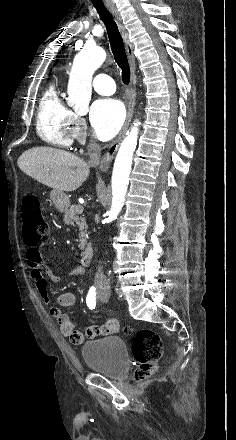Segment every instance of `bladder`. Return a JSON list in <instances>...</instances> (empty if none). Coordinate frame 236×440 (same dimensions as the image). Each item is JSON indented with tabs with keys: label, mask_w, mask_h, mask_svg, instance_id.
Returning <instances> with one entry per match:
<instances>
[{
	"label": "bladder",
	"mask_w": 236,
	"mask_h": 440,
	"mask_svg": "<svg viewBox=\"0 0 236 440\" xmlns=\"http://www.w3.org/2000/svg\"><path fill=\"white\" fill-rule=\"evenodd\" d=\"M86 366L110 378L122 376L129 367V355L124 340L117 336H106L87 341L81 348Z\"/></svg>",
	"instance_id": "31cf9c89"
}]
</instances>
